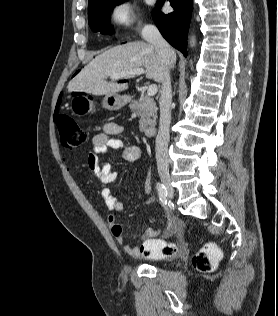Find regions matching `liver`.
Segmentation results:
<instances>
[{"label":"liver","instance_id":"1","mask_svg":"<svg viewBox=\"0 0 278 316\" xmlns=\"http://www.w3.org/2000/svg\"><path fill=\"white\" fill-rule=\"evenodd\" d=\"M175 63L176 54L172 50L170 68ZM137 68H144L148 79L159 83L164 79L165 64L155 46L137 41L116 46L95 57L69 82L67 89L94 95L116 94L127 90L128 83H117V79L107 82V77Z\"/></svg>","mask_w":278,"mask_h":316}]
</instances>
